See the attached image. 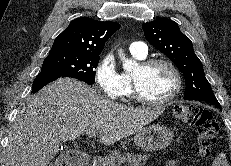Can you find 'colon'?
Segmentation results:
<instances>
[{
	"mask_svg": "<svg viewBox=\"0 0 231 166\" xmlns=\"http://www.w3.org/2000/svg\"><path fill=\"white\" fill-rule=\"evenodd\" d=\"M174 114L177 119L197 128V155L202 159L207 158L216 142L218 131L211 114L197 105H178L174 109ZM52 166L63 165L55 163Z\"/></svg>",
	"mask_w": 231,
	"mask_h": 166,
	"instance_id": "5ec220e1",
	"label": "colon"
}]
</instances>
